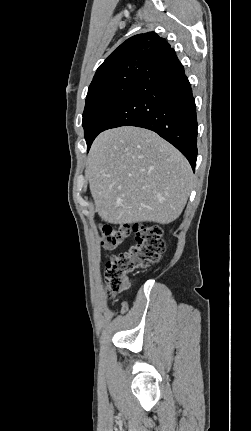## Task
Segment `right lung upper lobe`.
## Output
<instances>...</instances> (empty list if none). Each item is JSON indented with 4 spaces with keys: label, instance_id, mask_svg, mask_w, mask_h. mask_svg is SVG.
<instances>
[{
    "label": "right lung upper lobe",
    "instance_id": "obj_1",
    "mask_svg": "<svg viewBox=\"0 0 251 431\" xmlns=\"http://www.w3.org/2000/svg\"><path fill=\"white\" fill-rule=\"evenodd\" d=\"M159 49L174 51L165 39L154 32L138 34L127 39L98 67L91 84L127 64L143 60L149 62L152 54Z\"/></svg>",
    "mask_w": 251,
    "mask_h": 431
}]
</instances>
